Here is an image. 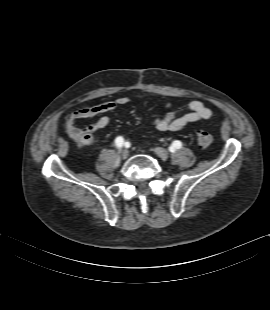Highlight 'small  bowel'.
Returning <instances> with one entry per match:
<instances>
[{
  "instance_id": "obj_1",
  "label": "small bowel",
  "mask_w": 270,
  "mask_h": 310,
  "mask_svg": "<svg viewBox=\"0 0 270 310\" xmlns=\"http://www.w3.org/2000/svg\"><path fill=\"white\" fill-rule=\"evenodd\" d=\"M129 102L127 97L105 101L95 105L86 106L68 115L63 123L67 135L80 146H92L95 143L94 133L106 128L110 123L109 113L119 106ZM167 112L164 116L157 117L153 124L159 131L178 132L188 124L207 120L212 115V110L201 101H192L188 105V112L179 115L171 103L166 104ZM100 116L98 120L87 127L80 128L76 122L82 119H90Z\"/></svg>"
}]
</instances>
